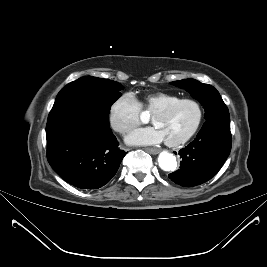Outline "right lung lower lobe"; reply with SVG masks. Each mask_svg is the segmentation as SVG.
I'll list each match as a JSON object with an SVG mask.
<instances>
[{
  "label": "right lung lower lobe",
  "instance_id": "1",
  "mask_svg": "<svg viewBox=\"0 0 267 267\" xmlns=\"http://www.w3.org/2000/svg\"><path fill=\"white\" fill-rule=\"evenodd\" d=\"M47 159L67 183L98 189L116 174L125 152L106 122L96 116L68 112L46 125Z\"/></svg>",
  "mask_w": 267,
  "mask_h": 267
}]
</instances>
